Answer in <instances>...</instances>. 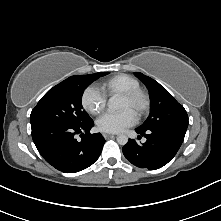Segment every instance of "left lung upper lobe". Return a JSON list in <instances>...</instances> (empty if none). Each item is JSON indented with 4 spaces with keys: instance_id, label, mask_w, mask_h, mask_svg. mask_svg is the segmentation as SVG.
Masks as SVG:
<instances>
[{
    "instance_id": "obj_1",
    "label": "left lung upper lobe",
    "mask_w": 221,
    "mask_h": 221,
    "mask_svg": "<svg viewBox=\"0 0 221 221\" xmlns=\"http://www.w3.org/2000/svg\"><path fill=\"white\" fill-rule=\"evenodd\" d=\"M134 74L146 85L151 98L150 115L138 128L144 131L165 126L187 128L188 115L184 107L154 79L139 72Z\"/></svg>"
}]
</instances>
